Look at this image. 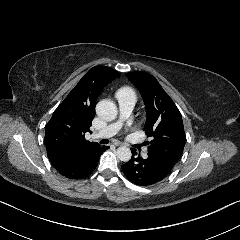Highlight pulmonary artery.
<instances>
[{"mask_svg": "<svg viewBox=\"0 0 240 240\" xmlns=\"http://www.w3.org/2000/svg\"><path fill=\"white\" fill-rule=\"evenodd\" d=\"M120 113L123 118L128 117L131 112L133 111L134 104L133 103H120ZM120 124L115 123L112 125H109L105 127L104 129L100 130L99 132H96L92 135V140H100V139H106L111 137L119 128Z\"/></svg>", "mask_w": 240, "mask_h": 240, "instance_id": "obj_1", "label": "pulmonary artery"}]
</instances>
